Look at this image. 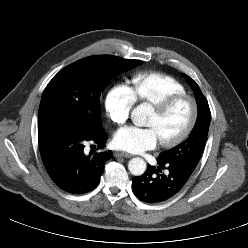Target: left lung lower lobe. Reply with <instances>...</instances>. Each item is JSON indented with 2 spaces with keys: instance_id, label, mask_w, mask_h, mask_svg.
Wrapping results in <instances>:
<instances>
[{
  "instance_id": "left-lung-lower-lobe-1",
  "label": "left lung lower lobe",
  "mask_w": 248,
  "mask_h": 248,
  "mask_svg": "<svg viewBox=\"0 0 248 248\" xmlns=\"http://www.w3.org/2000/svg\"><path fill=\"white\" fill-rule=\"evenodd\" d=\"M159 167L148 166L146 172L132 179V191L146 203L164 202L175 196L187 183L195 167L187 164L165 163L158 160ZM161 169H167L161 174Z\"/></svg>"
}]
</instances>
